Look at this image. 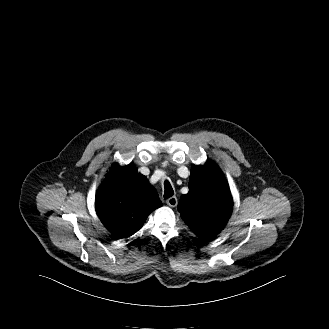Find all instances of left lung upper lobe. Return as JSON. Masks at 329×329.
I'll return each instance as SVG.
<instances>
[{
	"label": "left lung upper lobe",
	"instance_id": "left-lung-upper-lobe-1",
	"mask_svg": "<svg viewBox=\"0 0 329 329\" xmlns=\"http://www.w3.org/2000/svg\"><path fill=\"white\" fill-rule=\"evenodd\" d=\"M232 208L230 189L218 166L212 161L193 165L189 192L178 205L181 218L193 233L204 241L211 240L227 223Z\"/></svg>",
	"mask_w": 329,
	"mask_h": 329
}]
</instances>
